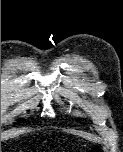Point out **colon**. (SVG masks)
<instances>
[{"label": "colon", "mask_w": 123, "mask_h": 152, "mask_svg": "<svg viewBox=\"0 0 123 152\" xmlns=\"http://www.w3.org/2000/svg\"><path fill=\"white\" fill-rule=\"evenodd\" d=\"M88 152H102V150L99 147H93Z\"/></svg>", "instance_id": "obj_1"}]
</instances>
